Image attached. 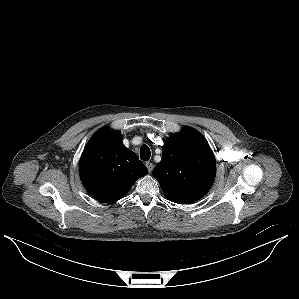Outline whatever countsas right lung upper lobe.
Listing matches in <instances>:
<instances>
[{
	"mask_svg": "<svg viewBox=\"0 0 299 299\" xmlns=\"http://www.w3.org/2000/svg\"><path fill=\"white\" fill-rule=\"evenodd\" d=\"M148 169L122 143L119 132L98 130L86 145L79 164L85 189L95 199L111 203L123 198Z\"/></svg>",
	"mask_w": 299,
	"mask_h": 299,
	"instance_id": "1",
	"label": "right lung upper lobe"
}]
</instances>
